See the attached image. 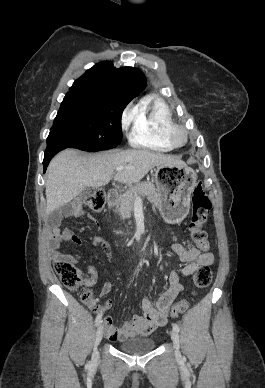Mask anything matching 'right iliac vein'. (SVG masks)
<instances>
[{
  "label": "right iliac vein",
  "mask_w": 265,
  "mask_h": 388,
  "mask_svg": "<svg viewBox=\"0 0 265 388\" xmlns=\"http://www.w3.org/2000/svg\"><path fill=\"white\" fill-rule=\"evenodd\" d=\"M103 331L104 327L103 325H99L97 331H96V336H95V343H94V350H93V360H98L99 359V351H98V345L100 344L102 337H103Z\"/></svg>",
  "instance_id": "63e3f726"
}]
</instances>
